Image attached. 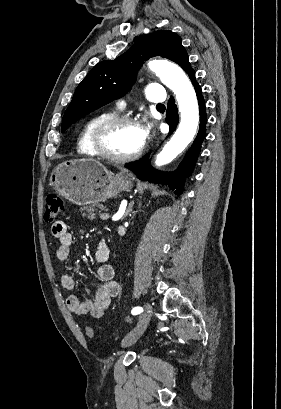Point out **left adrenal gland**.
<instances>
[{
	"mask_svg": "<svg viewBox=\"0 0 281 409\" xmlns=\"http://www.w3.org/2000/svg\"><path fill=\"white\" fill-rule=\"evenodd\" d=\"M133 207H134V200H132V202H129L128 209L126 213H124L122 219H125V217H128L129 213H132Z\"/></svg>",
	"mask_w": 281,
	"mask_h": 409,
	"instance_id": "1",
	"label": "left adrenal gland"
}]
</instances>
